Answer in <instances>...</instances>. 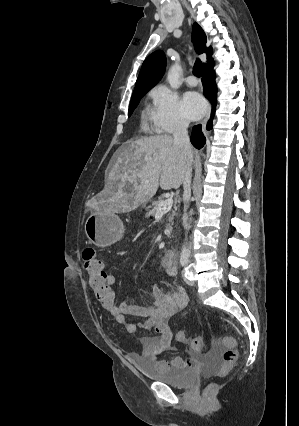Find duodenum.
Instances as JSON below:
<instances>
[{
    "label": "duodenum",
    "instance_id": "1",
    "mask_svg": "<svg viewBox=\"0 0 299 426\" xmlns=\"http://www.w3.org/2000/svg\"><path fill=\"white\" fill-rule=\"evenodd\" d=\"M176 259H177L176 251L173 250V249H168L165 252L163 261L166 262V263H174L176 261Z\"/></svg>",
    "mask_w": 299,
    "mask_h": 426
}]
</instances>
